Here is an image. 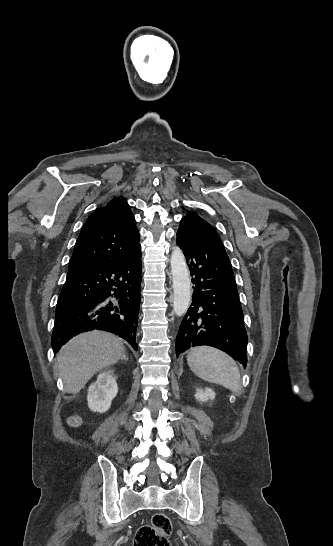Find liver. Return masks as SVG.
I'll use <instances>...</instances> for the list:
<instances>
[{"mask_svg": "<svg viewBox=\"0 0 333 546\" xmlns=\"http://www.w3.org/2000/svg\"><path fill=\"white\" fill-rule=\"evenodd\" d=\"M121 340L102 331H91L72 338L57 355L64 391L77 394L98 371L124 357Z\"/></svg>", "mask_w": 333, "mask_h": 546, "instance_id": "liver-1", "label": "liver"}]
</instances>
